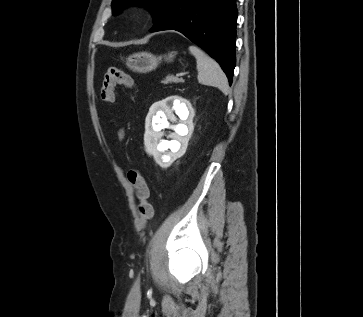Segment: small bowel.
<instances>
[{
    "instance_id": "c3829d8e",
    "label": "small bowel",
    "mask_w": 363,
    "mask_h": 317,
    "mask_svg": "<svg viewBox=\"0 0 363 317\" xmlns=\"http://www.w3.org/2000/svg\"><path fill=\"white\" fill-rule=\"evenodd\" d=\"M124 136H125V132H124L123 130H120V131L118 132V137H119V139H120V140H122V139L124 138Z\"/></svg>"
}]
</instances>
